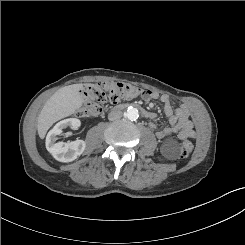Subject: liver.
<instances>
[{
    "mask_svg": "<svg viewBox=\"0 0 245 245\" xmlns=\"http://www.w3.org/2000/svg\"><path fill=\"white\" fill-rule=\"evenodd\" d=\"M83 84H73L57 90L43 106L37 122V131L43 139L49 128L58 120L70 116L83 103L80 91Z\"/></svg>",
    "mask_w": 245,
    "mask_h": 245,
    "instance_id": "obj_1",
    "label": "liver"
}]
</instances>
